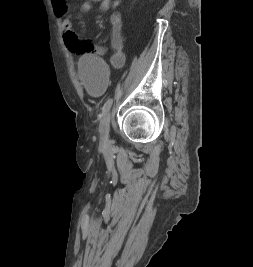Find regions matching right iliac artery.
Segmentation results:
<instances>
[{"instance_id":"1","label":"right iliac artery","mask_w":253,"mask_h":267,"mask_svg":"<svg viewBox=\"0 0 253 267\" xmlns=\"http://www.w3.org/2000/svg\"><path fill=\"white\" fill-rule=\"evenodd\" d=\"M112 102H113V99L110 98L108 99L105 104L103 105L102 107V116H105L107 114V112L109 111V109L111 108V105H112Z\"/></svg>"}]
</instances>
